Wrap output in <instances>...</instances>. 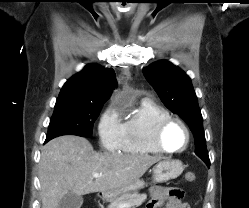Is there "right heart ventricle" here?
Returning <instances> with one entry per match:
<instances>
[{"mask_svg": "<svg viewBox=\"0 0 249 208\" xmlns=\"http://www.w3.org/2000/svg\"><path fill=\"white\" fill-rule=\"evenodd\" d=\"M169 116L167 109L151 100L139 101L122 125L121 151L132 155L160 153L153 144V132L158 122Z\"/></svg>", "mask_w": 249, "mask_h": 208, "instance_id": "right-heart-ventricle-1", "label": "right heart ventricle"}]
</instances>
